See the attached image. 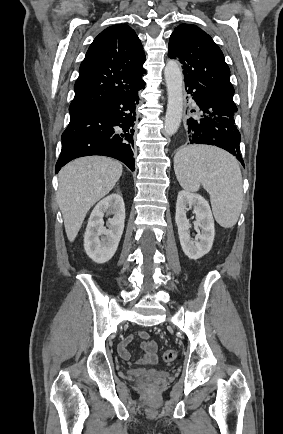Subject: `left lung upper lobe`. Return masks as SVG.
Here are the masks:
<instances>
[{
	"label": "left lung upper lobe",
	"mask_w": 283,
	"mask_h": 434,
	"mask_svg": "<svg viewBox=\"0 0 283 434\" xmlns=\"http://www.w3.org/2000/svg\"><path fill=\"white\" fill-rule=\"evenodd\" d=\"M168 48V56L181 62L185 79L233 98L229 67L222 51L206 32L195 25L180 24L170 36Z\"/></svg>",
	"instance_id": "5c2ea615"
}]
</instances>
